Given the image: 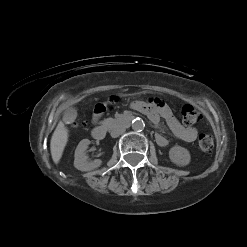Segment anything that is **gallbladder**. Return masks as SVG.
Instances as JSON below:
<instances>
[{
	"instance_id": "bac80fb5",
	"label": "gallbladder",
	"mask_w": 247,
	"mask_h": 247,
	"mask_svg": "<svg viewBox=\"0 0 247 247\" xmlns=\"http://www.w3.org/2000/svg\"><path fill=\"white\" fill-rule=\"evenodd\" d=\"M77 116V112L74 108H70L67 110L63 116V120L65 123H71L75 120Z\"/></svg>"
}]
</instances>
